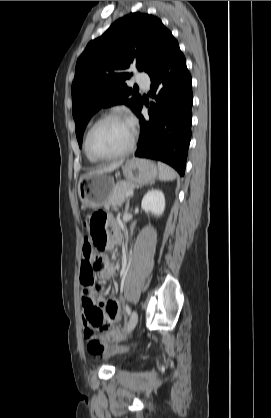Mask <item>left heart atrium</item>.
Returning a JSON list of instances; mask_svg holds the SVG:
<instances>
[{"label":"left heart atrium","instance_id":"39dd6f15","mask_svg":"<svg viewBox=\"0 0 271 418\" xmlns=\"http://www.w3.org/2000/svg\"><path fill=\"white\" fill-rule=\"evenodd\" d=\"M128 123L130 124L131 127H133L134 126V119L133 118H130L128 120Z\"/></svg>","mask_w":271,"mask_h":418}]
</instances>
